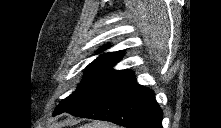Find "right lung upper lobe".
Instances as JSON below:
<instances>
[{
	"label": "right lung upper lobe",
	"instance_id": "obj_1",
	"mask_svg": "<svg viewBox=\"0 0 221 128\" xmlns=\"http://www.w3.org/2000/svg\"><path fill=\"white\" fill-rule=\"evenodd\" d=\"M103 50V49H101ZM101 52V51H98ZM122 51L104 53L87 66V70L97 71L109 75L131 77L134 72L131 70H113V66L121 60Z\"/></svg>",
	"mask_w": 221,
	"mask_h": 128
}]
</instances>
